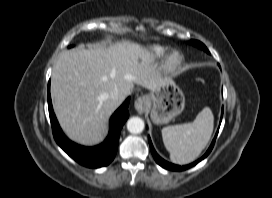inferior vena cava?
<instances>
[{"label": "inferior vena cava", "mask_w": 272, "mask_h": 198, "mask_svg": "<svg viewBox=\"0 0 272 198\" xmlns=\"http://www.w3.org/2000/svg\"><path fill=\"white\" fill-rule=\"evenodd\" d=\"M121 97L120 91L116 88L110 93V98L114 101H118Z\"/></svg>", "instance_id": "obj_1"}]
</instances>
